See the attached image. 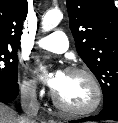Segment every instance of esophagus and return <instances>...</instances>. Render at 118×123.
<instances>
[{
  "label": "esophagus",
  "mask_w": 118,
  "mask_h": 123,
  "mask_svg": "<svg viewBox=\"0 0 118 123\" xmlns=\"http://www.w3.org/2000/svg\"><path fill=\"white\" fill-rule=\"evenodd\" d=\"M48 122L49 123H55V121L53 119H50Z\"/></svg>",
  "instance_id": "34e87169"
}]
</instances>
